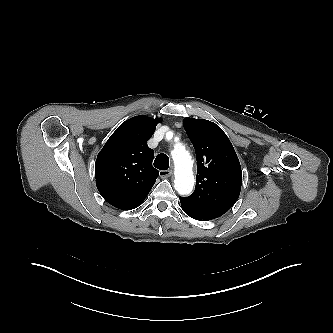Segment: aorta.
I'll return each mask as SVG.
<instances>
[{"instance_id":"1","label":"aorta","mask_w":333,"mask_h":333,"mask_svg":"<svg viewBox=\"0 0 333 333\" xmlns=\"http://www.w3.org/2000/svg\"><path fill=\"white\" fill-rule=\"evenodd\" d=\"M171 155L175 164V189L180 195H188L194 186L191 156L180 143L174 146Z\"/></svg>"}]
</instances>
